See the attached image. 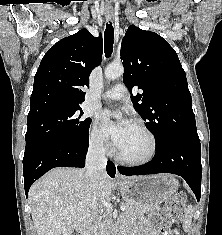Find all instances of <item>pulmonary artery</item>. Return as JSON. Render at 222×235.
Instances as JSON below:
<instances>
[{"label":"pulmonary artery","instance_id":"1","mask_svg":"<svg viewBox=\"0 0 222 235\" xmlns=\"http://www.w3.org/2000/svg\"><path fill=\"white\" fill-rule=\"evenodd\" d=\"M127 95V89L124 85L122 84H118L114 87H112L111 89L107 90L104 94H103V99L105 100H122L126 97Z\"/></svg>","mask_w":222,"mask_h":235}]
</instances>
